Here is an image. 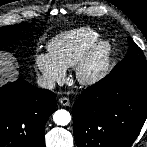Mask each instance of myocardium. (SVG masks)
<instances>
[{
    "mask_svg": "<svg viewBox=\"0 0 147 147\" xmlns=\"http://www.w3.org/2000/svg\"><path fill=\"white\" fill-rule=\"evenodd\" d=\"M114 48L110 40L97 38L75 65L77 81L82 85H93L104 78L112 64Z\"/></svg>",
    "mask_w": 147,
    "mask_h": 147,
    "instance_id": "myocardium-1",
    "label": "myocardium"
}]
</instances>
